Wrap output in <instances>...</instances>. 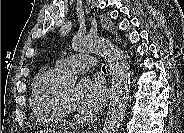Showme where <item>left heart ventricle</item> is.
Segmentation results:
<instances>
[{
  "mask_svg": "<svg viewBox=\"0 0 184 133\" xmlns=\"http://www.w3.org/2000/svg\"><path fill=\"white\" fill-rule=\"evenodd\" d=\"M61 93L67 102V104L71 107L73 111H76L73 103V95H74V88L73 87H67L65 89L61 90Z\"/></svg>",
  "mask_w": 184,
  "mask_h": 133,
  "instance_id": "left-heart-ventricle-1",
  "label": "left heart ventricle"
}]
</instances>
